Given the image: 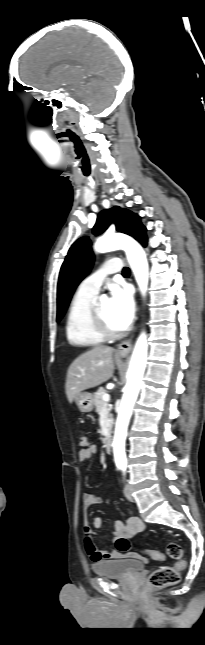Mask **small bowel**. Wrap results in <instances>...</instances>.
Here are the masks:
<instances>
[{"label":"small bowel","instance_id":"obj_1","mask_svg":"<svg viewBox=\"0 0 205 645\" xmlns=\"http://www.w3.org/2000/svg\"><path fill=\"white\" fill-rule=\"evenodd\" d=\"M97 452L98 450L95 445H91L87 449H81L78 452V460L80 462L88 461L94 455H96ZM82 499H83V508L85 512H87L91 507L99 505L103 502L101 497L91 493H84ZM106 502L110 503V499H107ZM102 522H103L102 517L97 516L93 520L92 527L88 525V523L86 522L83 527L85 549L89 557L91 558L92 562L96 563L103 560H112V559H121V558H133L141 561L146 560L145 557H143L142 555L136 552L123 553L118 551L115 547V543L117 539L126 538L129 540L132 537H134L136 534L144 530L145 524L140 518L136 516H131L125 522L119 519L115 520L113 539H112V543L114 547L109 550L99 549L93 541V536L95 535V531L101 528Z\"/></svg>","mask_w":205,"mask_h":645}]
</instances>
